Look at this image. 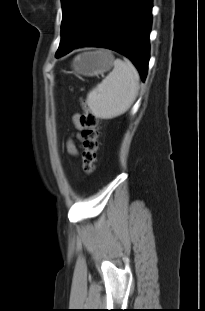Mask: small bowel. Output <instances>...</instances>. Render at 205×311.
I'll return each instance as SVG.
<instances>
[{"label": "small bowel", "mask_w": 205, "mask_h": 311, "mask_svg": "<svg viewBox=\"0 0 205 311\" xmlns=\"http://www.w3.org/2000/svg\"><path fill=\"white\" fill-rule=\"evenodd\" d=\"M79 118H80V116L78 114H76L73 117V121H74L75 126L77 127V129L81 130V125H80V122H79ZM67 150L72 155L77 154V148H76V146H75V144L73 143L72 140H69L67 142Z\"/></svg>", "instance_id": "c3829d8e"}]
</instances>
